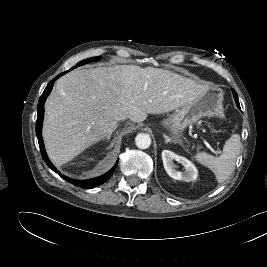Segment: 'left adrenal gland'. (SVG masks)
<instances>
[{
    "mask_svg": "<svg viewBox=\"0 0 267 267\" xmlns=\"http://www.w3.org/2000/svg\"><path fill=\"white\" fill-rule=\"evenodd\" d=\"M164 136V138H165V143H169V142H174L175 143V141H172V139H170L168 136H166L165 134L163 135Z\"/></svg>",
    "mask_w": 267,
    "mask_h": 267,
    "instance_id": "1",
    "label": "left adrenal gland"
}]
</instances>
